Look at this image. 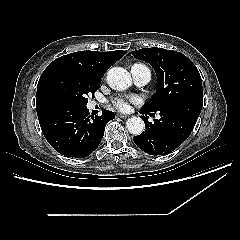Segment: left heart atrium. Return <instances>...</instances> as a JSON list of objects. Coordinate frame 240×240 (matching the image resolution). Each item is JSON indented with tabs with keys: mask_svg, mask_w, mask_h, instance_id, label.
I'll use <instances>...</instances> for the list:
<instances>
[{
	"mask_svg": "<svg viewBox=\"0 0 240 240\" xmlns=\"http://www.w3.org/2000/svg\"><path fill=\"white\" fill-rule=\"evenodd\" d=\"M138 102L139 98L136 96H116L112 99L115 108L122 112L130 110V105Z\"/></svg>",
	"mask_w": 240,
	"mask_h": 240,
	"instance_id": "obj_1",
	"label": "left heart atrium"
}]
</instances>
